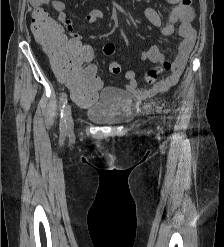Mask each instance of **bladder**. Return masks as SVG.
I'll return each mask as SVG.
<instances>
[{
    "mask_svg": "<svg viewBox=\"0 0 224 247\" xmlns=\"http://www.w3.org/2000/svg\"><path fill=\"white\" fill-rule=\"evenodd\" d=\"M132 102L126 93L116 87H104L96 100L86 110V116L94 123L115 125L131 117Z\"/></svg>",
    "mask_w": 224,
    "mask_h": 247,
    "instance_id": "obj_1",
    "label": "bladder"
}]
</instances>
